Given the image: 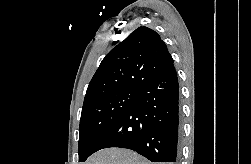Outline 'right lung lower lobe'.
<instances>
[{
	"label": "right lung lower lobe",
	"mask_w": 251,
	"mask_h": 164,
	"mask_svg": "<svg viewBox=\"0 0 251 164\" xmlns=\"http://www.w3.org/2000/svg\"><path fill=\"white\" fill-rule=\"evenodd\" d=\"M181 132L179 84L173 65L139 88L137 100L102 136L92 154L119 147L133 150L151 162H175Z\"/></svg>",
	"instance_id": "98d812e1"
}]
</instances>
